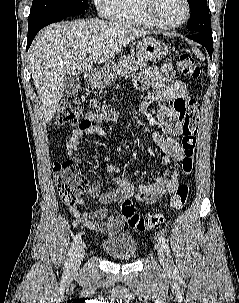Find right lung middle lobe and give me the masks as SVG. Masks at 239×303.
<instances>
[{
  "label": "right lung middle lobe",
  "instance_id": "obj_1",
  "mask_svg": "<svg viewBox=\"0 0 239 303\" xmlns=\"http://www.w3.org/2000/svg\"><path fill=\"white\" fill-rule=\"evenodd\" d=\"M88 9V0H33L28 25L50 16L83 13Z\"/></svg>",
  "mask_w": 239,
  "mask_h": 303
}]
</instances>
